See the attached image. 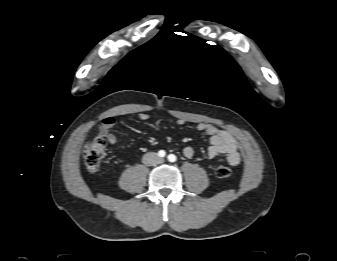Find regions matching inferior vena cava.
Instances as JSON below:
<instances>
[{
	"label": "inferior vena cava",
	"mask_w": 337,
	"mask_h": 261,
	"mask_svg": "<svg viewBox=\"0 0 337 261\" xmlns=\"http://www.w3.org/2000/svg\"><path fill=\"white\" fill-rule=\"evenodd\" d=\"M142 162L147 165V166H153L160 164L162 162V158H160L156 153L154 152H149L146 153L143 158Z\"/></svg>",
	"instance_id": "1"
}]
</instances>
